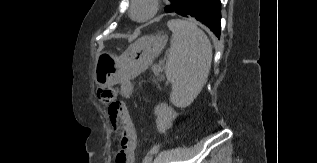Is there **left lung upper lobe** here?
Segmentation results:
<instances>
[{"instance_id": "left-lung-upper-lobe-1", "label": "left lung upper lobe", "mask_w": 317, "mask_h": 163, "mask_svg": "<svg viewBox=\"0 0 317 163\" xmlns=\"http://www.w3.org/2000/svg\"><path fill=\"white\" fill-rule=\"evenodd\" d=\"M171 2L170 5L165 7L166 12H174V10L177 8L181 0H169Z\"/></svg>"}]
</instances>
